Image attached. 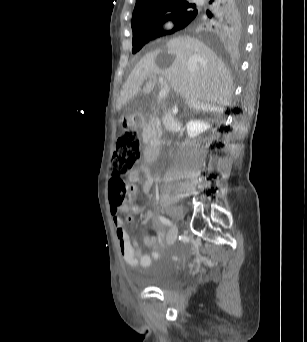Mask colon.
I'll list each match as a JSON object with an SVG mask.
<instances>
[{"label": "colon", "mask_w": 307, "mask_h": 342, "mask_svg": "<svg viewBox=\"0 0 307 342\" xmlns=\"http://www.w3.org/2000/svg\"><path fill=\"white\" fill-rule=\"evenodd\" d=\"M141 154V141L138 134L134 131L122 133L117 141L114 151L112 179L110 185V205L116 206V189H123V204L128 199L124 177L132 172L138 165ZM117 207V206H116ZM126 218H132L131 212L126 214Z\"/></svg>", "instance_id": "obj_1"}]
</instances>
